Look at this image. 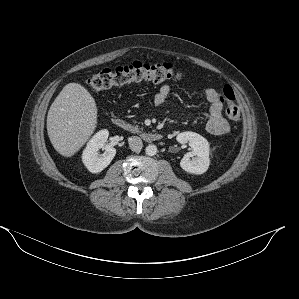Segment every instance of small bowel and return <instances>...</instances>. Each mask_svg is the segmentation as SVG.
I'll return each mask as SVG.
<instances>
[{
	"label": "small bowel",
	"instance_id": "1",
	"mask_svg": "<svg viewBox=\"0 0 299 299\" xmlns=\"http://www.w3.org/2000/svg\"><path fill=\"white\" fill-rule=\"evenodd\" d=\"M171 93L169 85L161 86L155 93L153 101L157 106L163 105ZM207 101L210 103L206 113V129L213 135H223L229 132L230 124L222 115V103L219 100V94L215 89L208 88L205 91Z\"/></svg>",
	"mask_w": 299,
	"mask_h": 299
}]
</instances>
